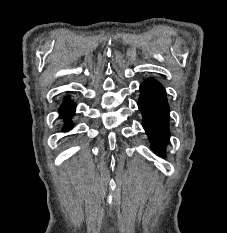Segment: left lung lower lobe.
Segmentation results:
<instances>
[{"label":"left lung lower lobe","mask_w":227,"mask_h":233,"mask_svg":"<svg viewBox=\"0 0 227 233\" xmlns=\"http://www.w3.org/2000/svg\"><path fill=\"white\" fill-rule=\"evenodd\" d=\"M138 107L143 115V127L153 151L165 156L169 141V106L164 87L155 79H147L140 85Z\"/></svg>","instance_id":"0a47b994"}]
</instances>
